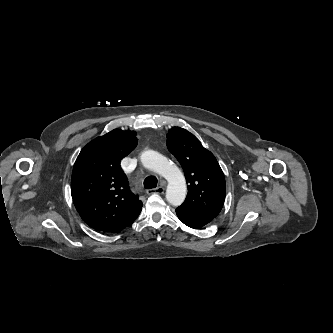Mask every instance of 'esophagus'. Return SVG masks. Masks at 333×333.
<instances>
[{"mask_svg": "<svg viewBox=\"0 0 333 333\" xmlns=\"http://www.w3.org/2000/svg\"><path fill=\"white\" fill-rule=\"evenodd\" d=\"M146 193H147L148 195L153 194V193H156V194H163V193H164V187L159 186V187H157V188H155V189H148V190L146 191Z\"/></svg>", "mask_w": 333, "mask_h": 333, "instance_id": "1", "label": "esophagus"}]
</instances>
